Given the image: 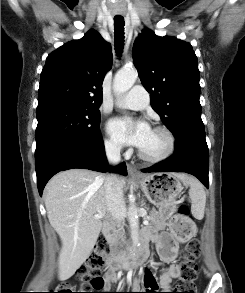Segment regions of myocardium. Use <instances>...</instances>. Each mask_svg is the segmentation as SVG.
Wrapping results in <instances>:
<instances>
[{
	"instance_id": "f54148a6",
	"label": "myocardium",
	"mask_w": 245,
	"mask_h": 293,
	"mask_svg": "<svg viewBox=\"0 0 245 293\" xmlns=\"http://www.w3.org/2000/svg\"><path fill=\"white\" fill-rule=\"evenodd\" d=\"M153 130L162 132L166 136L167 148L162 154H160L158 156L146 155L140 149L138 152L139 158L142 159L143 161L150 162V163L161 162V161L168 159L174 153L175 148H176L175 135L173 134V132L169 128H167L165 126H156V127H154Z\"/></svg>"
}]
</instances>
